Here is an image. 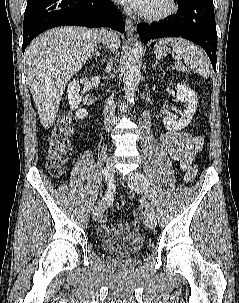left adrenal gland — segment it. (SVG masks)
<instances>
[{
  "label": "left adrenal gland",
  "instance_id": "1",
  "mask_svg": "<svg viewBox=\"0 0 239 303\" xmlns=\"http://www.w3.org/2000/svg\"><path fill=\"white\" fill-rule=\"evenodd\" d=\"M156 67L161 68L160 65H159V63H158V61H156V62L154 63V65H152V68H156Z\"/></svg>",
  "mask_w": 239,
  "mask_h": 303
}]
</instances>
